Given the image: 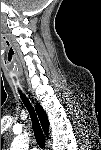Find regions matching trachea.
Wrapping results in <instances>:
<instances>
[{
  "instance_id": "3493384b",
  "label": "trachea",
  "mask_w": 101,
  "mask_h": 150,
  "mask_svg": "<svg viewBox=\"0 0 101 150\" xmlns=\"http://www.w3.org/2000/svg\"><path fill=\"white\" fill-rule=\"evenodd\" d=\"M21 93V92H20ZM21 98L25 104V106L27 107L31 120H32V128L34 131V136L36 138L37 144L41 147L44 148L45 147V137L43 134V131L41 129L40 123L38 121V118L36 116V113L31 105V103L28 101V99L26 98V96L24 94L21 93Z\"/></svg>"
}]
</instances>
